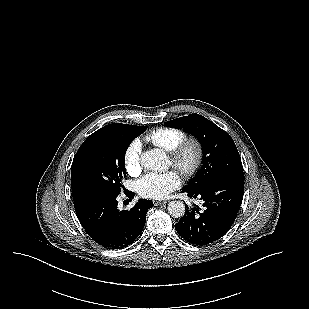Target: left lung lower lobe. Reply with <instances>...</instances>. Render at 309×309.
<instances>
[{
  "label": "left lung lower lobe",
  "mask_w": 309,
  "mask_h": 309,
  "mask_svg": "<svg viewBox=\"0 0 309 309\" xmlns=\"http://www.w3.org/2000/svg\"><path fill=\"white\" fill-rule=\"evenodd\" d=\"M184 192L202 200L203 209L187 207L175 229L189 243L204 246L223 237L234 223L243 200L244 175L220 177L197 189L182 188Z\"/></svg>",
  "instance_id": "left-lung-lower-lobe-1"
}]
</instances>
